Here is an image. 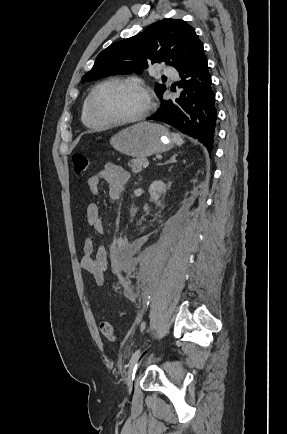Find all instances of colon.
<instances>
[{
	"label": "colon",
	"instance_id": "5ec220e1",
	"mask_svg": "<svg viewBox=\"0 0 287 434\" xmlns=\"http://www.w3.org/2000/svg\"><path fill=\"white\" fill-rule=\"evenodd\" d=\"M73 171L76 176L83 177L87 172L89 161L83 154H75L72 158ZM100 332L105 339L110 342L116 340V333L112 323L107 320H101L99 323Z\"/></svg>",
	"mask_w": 287,
	"mask_h": 434
}]
</instances>
